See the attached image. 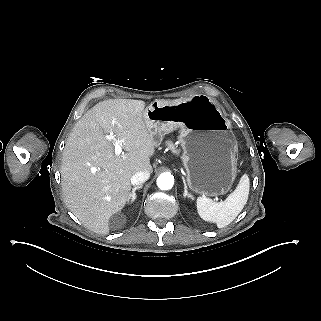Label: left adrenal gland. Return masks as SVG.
<instances>
[{
    "label": "left adrenal gland",
    "instance_id": "a2214340",
    "mask_svg": "<svg viewBox=\"0 0 321 321\" xmlns=\"http://www.w3.org/2000/svg\"><path fill=\"white\" fill-rule=\"evenodd\" d=\"M183 196L192 198V195L188 193L187 185H186L185 181H184V193H183Z\"/></svg>",
    "mask_w": 321,
    "mask_h": 321
}]
</instances>
